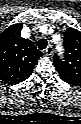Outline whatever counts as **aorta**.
Instances as JSON below:
<instances>
[{
	"instance_id": "obj_1",
	"label": "aorta",
	"mask_w": 81,
	"mask_h": 124,
	"mask_svg": "<svg viewBox=\"0 0 81 124\" xmlns=\"http://www.w3.org/2000/svg\"><path fill=\"white\" fill-rule=\"evenodd\" d=\"M58 50H59V51H62V48L58 46Z\"/></svg>"
}]
</instances>
